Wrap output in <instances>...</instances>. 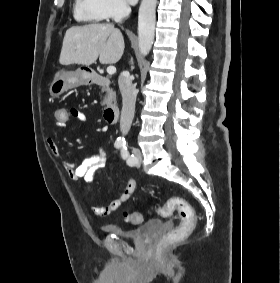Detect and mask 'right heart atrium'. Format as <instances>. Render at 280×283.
<instances>
[{
	"instance_id": "right-heart-atrium-1",
	"label": "right heart atrium",
	"mask_w": 280,
	"mask_h": 283,
	"mask_svg": "<svg viewBox=\"0 0 280 283\" xmlns=\"http://www.w3.org/2000/svg\"><path fill=\"white\" fill-rule=\"evenodd\" d=\"M94 8L105 20H118L129 11L125 0H94Z\"/></svg>"
}]
</instances>
